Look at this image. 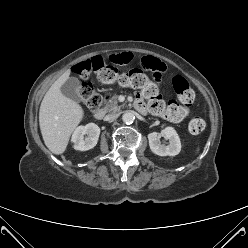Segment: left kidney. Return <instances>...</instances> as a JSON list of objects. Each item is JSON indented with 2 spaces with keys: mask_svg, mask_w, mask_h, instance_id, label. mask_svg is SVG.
<instances>
[{
  "mask_svg": "<svg viewBox=\"0 0 248 248\" xmlns=\"http://www.w3.org/2000/svg\"><path fill=\"white\" fill-rule=\"evenodd\" d=\"M161 136L169 140V145L160 143ZM148 140L151 151L159 156H175L181 151L180 138L172 127L164 128L161 133H149Z\"/></svg>",
  "mask_w": 248,
  "mask_h": 248,
  "instance_id": "1",
  "label": "left kidney"
}]
</instances>
